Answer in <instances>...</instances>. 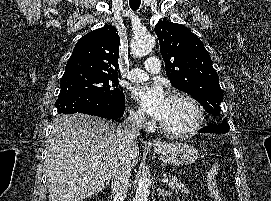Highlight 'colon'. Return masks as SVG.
<instances>
[{"mask_svg": "<svg viewBox=\"0 0 271 201\" xmlns=\"http://www.w3.org/2000/svg\"><path fill=\"white\" fill-rule=\"evenodd\" d=\"M218 164L215 163L212 165V167L209 169V172L207 174V182L210 187V189L214 192L215 195H217V189H216V177L218 174ZM216 201H221L219 197H217Z\"/></svg>", "mask_w": 271, "mask_h": 201, "instance_id": "1", "label": "colon"}]
</instances>
